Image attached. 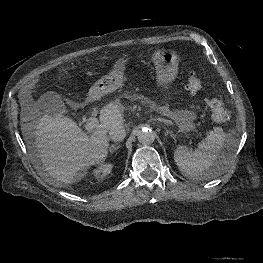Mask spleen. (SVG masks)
Here are the masks:
<instances>
[{
	"instance_id": "3e777b00",
	"label": "spleen",
	"mask_w": 263,
	"mask_h": 263,
	"mask_svg": "<svg viewBox=\"0 0 263 263\" xmlns=\"http://www.w3.org/2000/svg\"><path fill=\"white\" fill-rule=\"evenodd\" d=\"M237 140L226 136L221 127H215L199 143L195 151L179 146L174 151V160L181 173L189 179L210 178L227 169L233 160ZM225 149L223 153L221 151ZM214 167L212 172L208 171Z\"/></svg>"
}]
</instances>
